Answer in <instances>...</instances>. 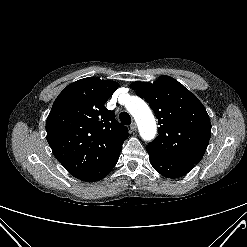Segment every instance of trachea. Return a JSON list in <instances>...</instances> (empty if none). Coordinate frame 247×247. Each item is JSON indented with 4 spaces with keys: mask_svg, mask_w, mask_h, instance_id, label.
Wrapping results in <instances>:
<instances>
[{
    "mask_svg": "<svg viewBox=\"0 0 247 247\" xmlns=\"http://www.w3.org/2000/svg\"><path fill=\"white\" fill-rule=\"evenodd\" d=\"M119 119L121 123L123 124H126V125L131 124V117L127 112H121L119 114Z\"/></svg>",
    "mask_w": 247,
    "mask_h": 247,
    "instance_id": "3493384b",
    "label": "trachea"
}]
</instances>
